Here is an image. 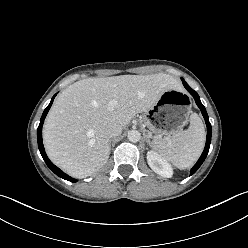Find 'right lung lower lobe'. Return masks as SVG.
Here are the masks:
<instances>
[{"label":"right lung lower lobe","mask_w":248,"mask_h":248,"mask_svg":"<svg viewBox=\"0 0 248 248\" xmlns=\"http://www.w3.org/2000/svg\"><path fill=\"white\" fill-rule=\"evenodd\" d=\"M56 95L53 96V98L51 99V102L50 104L47 106V108L44 110L43 112V115L40 119V124L38 126V129H37V138H38V148L40 150V153L45 161V163L47 164V166L56 174L58 175L59 177L65 179V180H68L70 182H76V179L74 178H71L70 176H68L67 174H65L64 172H62L58 167H56L47 157L46 153H45V150H44V146H43V142H42V126H43V123H44V119L53 103V100L55 98Z\"/></svg>","instance_id":"98d812e1"}]
</instances>
